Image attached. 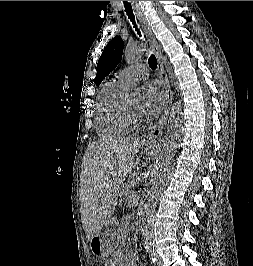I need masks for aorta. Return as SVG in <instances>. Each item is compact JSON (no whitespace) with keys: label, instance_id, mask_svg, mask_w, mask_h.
<instances>
[{"label":"aorta","instance_id":"762f6f07","mask_svg":"<svg viewBox=\"0 0 253 266\" xmlns=\"http://www.w3.org/2000/svg\"><path fill=\"white\" fill-rule=\"evenodd\" d=\"M144 52L145 46L142 43L128 44L124 51L125 60L128 63H134L144 55ZM125 90L131 96L139 94V86L136 84H128ZM183 121L182 108L180 104L174 103L169 113L166 138L156 160L148 201L144 205L140 222L142 240L146 245L153 242L152 219L160 193L172 168L178 142L183 132Z\"/></svg>","mask_w":253,"mask_h":266}]
</instances>
